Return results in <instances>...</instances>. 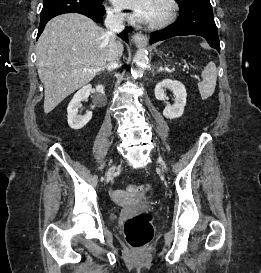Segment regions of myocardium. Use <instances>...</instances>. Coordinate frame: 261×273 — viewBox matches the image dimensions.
Returning a JSON list of instances; mask_svg holds the SVG:
<instances>
[{"instance_id": "f54148a6", "label": "myocardium", "mask_w": 261, "mask_h": 273, "mask_svg": "<svg viewBox=\"0 0 261 273\" xmlns=\"http://www.w3.org/2000/svg\"><path fill=\"white\" fill-rule=\"evenodd\" d=\"M162 3L165 4L166 8H167V12L165 14V16L157 21H152V22H148V27L152 28V29H160V28H164L166 26H168L169 24H171L177 15L178 12V4L176 2V0H161Z\"/></svg>"}]
</instances>
